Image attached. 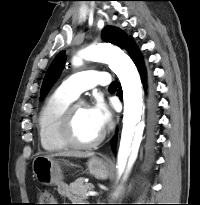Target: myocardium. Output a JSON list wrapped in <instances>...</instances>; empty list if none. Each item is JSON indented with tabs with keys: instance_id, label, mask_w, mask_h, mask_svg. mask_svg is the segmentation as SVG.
Returning a JSON list of instances; mask_svg holds the SVG:
<instances>
[{
	"instance_id": "obj_1",
	"label": "myocardium",
	"mask_w": 200,
	"mask_h": 205,
	"mask_svg": "<svg viewBox=\"0 0 200 205\" xmlns=\"http://www.w3.org/2000/svg\"><path fill=\"white\" fill-rule=\"evenodd\" d=\"M86 106L81 103L70 104L63 114L60 123V136L65 144L76 149H90L98 146L105 138V132L102 131L100 135L90 142H81L76 139L73 131L75 112L79 106ZM87 107V106H86Z\"/></svg>"
}]
</instances>
